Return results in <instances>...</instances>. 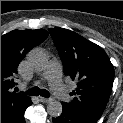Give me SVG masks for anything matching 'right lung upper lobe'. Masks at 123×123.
<instances>
[{"instance_id": "obj_1", "label": "right lung upper lobe", "mask_w": 123, "mask_h": 123, "mask_svg": "<svg viewBox=\"0 0 123 123\" xmlns=\"http://www.w3.org/2000/svg\"><path fill=\"white\" fill-rule=\"evenodd\" d=\"M48 34L44 29L13 30L1 36V116L19 112L29 104L30 97L12 92L11 89L19 63Z\"/></svg>"}]
</instances>
